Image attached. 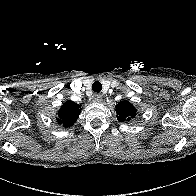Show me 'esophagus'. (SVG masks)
Masks as SVG:
<instances>
[{"instance_id": "34e87169", "label": "esophagus", "mask_w": 196, "mask_h": 196, "mask_svg": "<svg viewBox=\"0 0 196 196\" xmlns=\"http://www.w3.org/2000/svg\"><path fill=\"white\" fill-rule=\"evenodd\" d=\"M101 100H102V95L97 93L93 95V101L100 102Z\"/></svg>"}]
</instances>
